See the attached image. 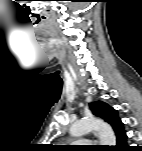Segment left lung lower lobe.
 <instances>
[{"mask_svg": "<svg viewBox=\"0 0 142 151\" xmlns=\"http://www.w3.org/2000/svg\"><path fill=\"white\" fill-rule=\"evenodd\" d=\"M117 145L115 147L116 151H127L131 150L130 147L127 145V135L126 132L123 130L119 135L116 136Z\"/></svg>", "mask_w": 142, "mask_h": 151, "instance_id": "obj_1", "label": "left lung lower lobe"}]
</instances>
